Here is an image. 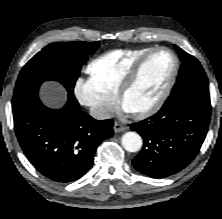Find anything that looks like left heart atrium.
I'll list each match as a JSON object with an SVG mask.
<instances>
[{"mask_svg": "<svg viewBox=\"0 0 222 219\" xmlns=\"http://www.w3.org/2000/svg\"><path fill=\"white\" fill-rule=\"evenodd\" d=\"M123 111L125 112V113H130L131 111L127 108V107H125L124 105H123Z\"/></svg>", "mask_w": 222, "mask_h": 219, "instance_id": "39dd6f15", "label": "left heart atrium"}]
</instances>
